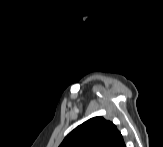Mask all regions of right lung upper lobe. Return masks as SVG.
Masks as SVG:
<instances>
[{"label": "right lung upper lobe", "mask_w": 163, "mask_h": 147, "mask_svg": "<svg viewBox=\"0 0 163 147\" xmlns=\"http://www.w3.org/2000/svg\"><path fill=\"white\" fill-rule=\"evenodd\" d=\"M122 140L112 122L94 117L70 132L59 147H115Z\"/></svg>", "instance_id": "cb5924a9"}]
</instances>
